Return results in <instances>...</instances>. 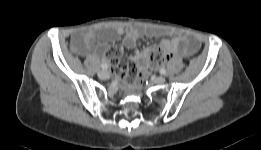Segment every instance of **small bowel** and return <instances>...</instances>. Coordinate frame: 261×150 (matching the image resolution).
<instances>
[{"instance_id": "small-bowel-1", "label": "small bowel", "mask_w": 261, "mask_h": 150, "mask_svg": "<svg viewBox=\"0 0 261 150\" xmlns=\"http://www.w3.org/2000/svg\"><path fill=\"white\" fill-rule=\"evenodd\" d=\"M123 34V44L127 48H134L143 37L156 38L159 36H169V39L165 42V46L174 56L178 55L179 52L188 56L199 48V42L194 38L184 37L167 29L151 25L131 26L127 30H124L122 27L107 30L101 34L100 42L95 51L112 59L117 74L120 77L127 74L133 79L140 78V69H142L145 63L148 52V50L138 52L130 60L122 57L120 53L115 55L108 52L110 43ZM83 36V32H77L72 36V41L78 44Z\"/></svg>"}]
</instances>
